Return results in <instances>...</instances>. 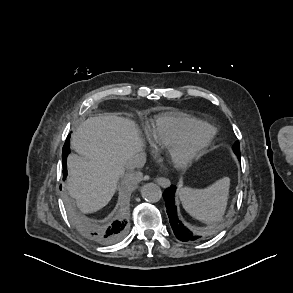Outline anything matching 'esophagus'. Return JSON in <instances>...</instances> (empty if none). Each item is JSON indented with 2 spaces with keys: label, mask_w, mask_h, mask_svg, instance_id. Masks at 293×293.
<instances>
[{
  "label": "esophagus",
  "mask_w": 293,
  "mask_h": 293,
  "mask_svg": "<svg viewBox=\"0 0 293 293\" xmlns=\"http://www.w3.org/2000/svg\"><path fill=\"white\" fill-rule=\"evenodd\" d=\"M156 182L162 187H168L170 185V181L164 177L156 178Z\"/></svg>",
  "instance_id": "esophagus-1"
}]
</instances>
